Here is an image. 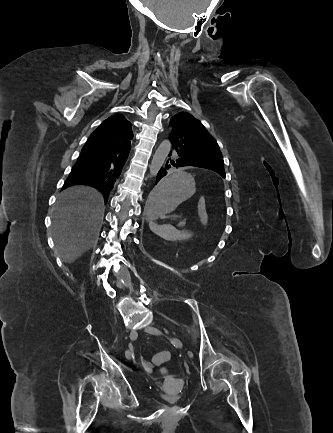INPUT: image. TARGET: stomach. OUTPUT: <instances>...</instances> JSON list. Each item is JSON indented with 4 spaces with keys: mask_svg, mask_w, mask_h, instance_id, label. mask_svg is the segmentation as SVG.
<instances>
[{
    "mask_svg": "<svg viewBox=\"0 0 333 433\" xmlns=\"http://www.w3.org/2000/svg\"><path fill=\"white\" fill-rule=\"evenodd\" d=\"M196 190L194 178L182 169H173L171 174L160 176V183H153L145 203V220H164L173 215L185 199H193Z\"/></svg>",
    "mask_w": 333,
    "mask_h": 433,
    "instance_id": "0dacf381",
    "label": "stomach"
}]
</instances>
